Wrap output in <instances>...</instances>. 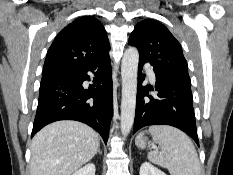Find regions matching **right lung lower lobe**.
<instances>
[{"label":"right lung lower lobe","instance_id":"obj_1","mask_svg":"<svg viewBox=\"0 0 233 175\" xmlns=\"http://www.w3.org/2000/svg\"><path fill=\"white\" fill-rule=\"evenodd\" d=\"M91 78L93 84L84 88L82 83ZM112 115V71L107 55L67 73L41 80L31 137L54 121L76 120L91 126L107 143Z\"/></svg>","mask_w":233,"mask_h":175}]
</instances>
